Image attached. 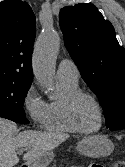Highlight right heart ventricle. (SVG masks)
<instances>
[{"label": "right heart ventricle", "instance_id": "right-heart-ventricle-1", "mask_svg": "<svg viewBox=\"0 0 125 167\" xmlns=\"http://www.w3.org/2000/svg\"><path fill=\"white\" fill-rule=\"evenodd\" d=\"M59 81L62 89L61 97L48 103L47 114L42 127L45 130L57 133H75V129L67 119L65 104L70 95L80 90L79 84L78 81L74 82L63 79H59Z\"/></svg>", "mask_w": 125, "mask_h": 167}]
</instances>
